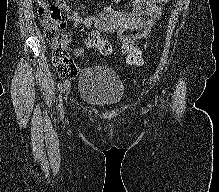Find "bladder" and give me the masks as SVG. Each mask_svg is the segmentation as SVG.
I'll use <instances>...</instances> for the list:
<instances>
[{"instance_id":"31cf9c89","label":"bladder","mask_w":219,"mask_h":192,"mask_svg":"<svg viewBox=\"0 0 219 192\" xmlns=\"http://www.w3.org/2000/svg\"><path fill=\"white\" fill-rule=\"evenodd\" d=\"M124 95V84L113 70L91 65L84 68L79 75V96L92 105L115 107Z\"/></svg>"}]
</instances>
